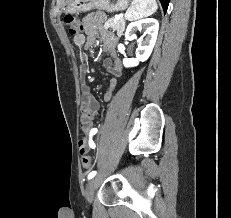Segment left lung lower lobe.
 <instances>
[{
    "label": "left lung lower lobe",
    "instance_id": "1",
    "mask_svg": "<svg viewBox=\"0 0 231 218\" xmlns=\"http://www.w3.org/2000/svg\"><path fill=\"white\" fill-rule=\"evenodd\" d=\"M159 1H160L161 4H162V7H163L164 12L166 13L167 8H168V4H169V1H170V0H159Z\"/></svg>",
    "mask_w": 231,
    "mask_h": 218
}]
</instances>
